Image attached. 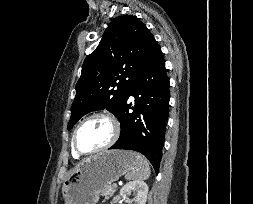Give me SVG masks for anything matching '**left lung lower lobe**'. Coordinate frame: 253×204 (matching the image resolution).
Segmentation results:
<instances>
[{"instance_id":"obj_1","label":"left lung lower lobe","mask_w":253,"mask_h":204,"mask_svg":"<svg viewBox=\"0 0 253 204\" xmlns=\"http://www.w3.org/2000/svg\"><path fill=\"white\" fill-rule=\"evenodd\" d=\"M169 78L161 48L154 46L128 94L135 98L134 107L126 103L118 118L121 133L110 149L138 151L159 171L169 112ZM129 109L133 112L129 113Z\"/></svg>"}]
</instances>
